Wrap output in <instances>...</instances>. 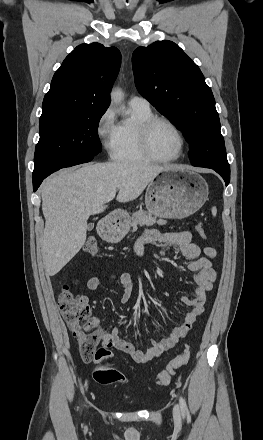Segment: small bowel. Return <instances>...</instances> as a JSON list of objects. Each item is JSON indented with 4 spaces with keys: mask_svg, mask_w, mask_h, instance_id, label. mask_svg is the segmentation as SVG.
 Segmentation results:
<instances>
[{
    "mask_svg": "<svg viewBox=\"0 0 263 440\" xmlns=\"http://www.w3.org/2000/svg\"><path fill=\"white\" fill-rule=\"evenodd\" d=\"M161 244L178 250L180 254L189 259L187 269L194 273L196 287L190 297H181V301L190 307L186 313L184 322L173 329L171 334L163 339L149 340V346L145 351L137 350L134 345L119 336L118 328L108 330L101 325L98 318L92 319V324L96 329L98 339L102 346L115 348L128 354L136 364H148L159 357L164 351L174 347L192 328L195 320L202 314L206 294L212 289L216 279V272L212 267L211 259L215 257L216 251L212 247H200L192 242L191 234L187 231L179 232H159L156 229L145 231L136 241L134 251L137 256L144 254L146 245ZM116 283L122 288L120 301L125 303L133 293V284L129 274L123 273L113 276ZM101 276H92L86 282L88 290H96L102 283Z\"/></svg>",
    "mask_w": 263,
    "mask_h": 440,
    "instance_id": "1",
    "label": "small bowel"
}]
</instances>
